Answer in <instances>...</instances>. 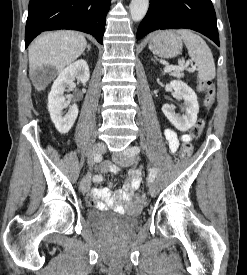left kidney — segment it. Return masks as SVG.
<instances>
[{
  "instance_id": "1",
  "label": "left kidney",
  "mask_w": 247,
  "mask_h": 275,
  "mask_svg": "<svg viewBox=\"0 0 247 275\" xmlns=\"http://www.w3.org/2000/svg\"><path fill=\"white\" fill-rule=\"evenodd\" d=\"M170 85L178 97L184 100V114H176L168 104L163 105L162 112L176 129L187 131L197 120L199 112L197 95L186 83L180 80H173Z\"/></svg>"
}]
</instances>
